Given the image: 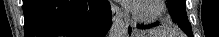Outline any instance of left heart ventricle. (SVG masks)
<instances>
[{"instance_id":"left-heart-ventricle-1","label":"left heart ventricle","mask_w":219,"mask_h":37,"mask_svg":"<svg viewBox=\"0 0 219 37\" xmlns=\"http://www.w3.org/2000/svg\"><path fill=\"white\" fill-rule=\"evenodd\" d=\"M139 2H142L140 5H138L139 10L142 12H149L153 9L152 1H139Z\"/></svg>"}]
</instances>
